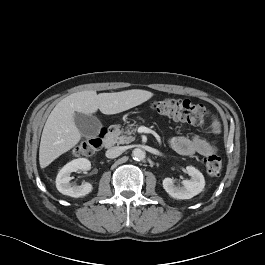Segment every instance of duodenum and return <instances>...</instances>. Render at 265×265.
Returning <instances> with one entry per match:
<instances>
[{
    "label": "duodenum",
    "instance_id": "410a0bca",
    "mask_svg": "<svg viewBox=\"0 0 265 265\" xmlns=\"http://www.w3.org/2000/svg\"><path fill=\"white\" fill-rule=\"evenodd\" d=\"M115 141H116V133L113 130H111L104 138L103 141L104 147L107 149L112 148L115 144Z\"/></svg>",
    "mask_w": 265,
    "mask_h": 265
}]
</instances>
